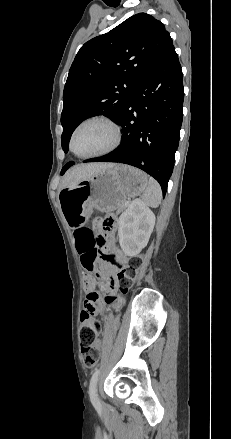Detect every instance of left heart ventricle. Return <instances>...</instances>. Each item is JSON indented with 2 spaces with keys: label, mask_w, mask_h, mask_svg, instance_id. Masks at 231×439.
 <instances>
[{
  "label": "left heart ventricle",
  "mask_w": 231,
  "mask_h": 439,
  "mask_svg": "<svg viewBox=\"0 0 231 439\" xmlns=\"http://www.w3.org/2000/svg\"><path fill=\"white\" fill-rule=\"evenodd\" d=\"M113 141V131L99 121L83 125L74 137L73 147L80 155L92 154L107 148Z\"/></svg>",
  "instance_id": "obj_1"
}]
</instances>
